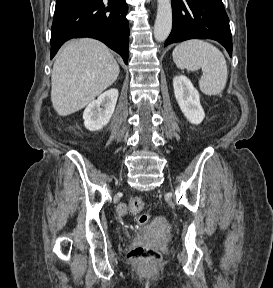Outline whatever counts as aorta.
Segmentation results:
<instances>
[{"instance_id":"762f6f07","label":"aorta","mask_w":273,"mask_h":288,"mask_svg":"<svg viewBox=\"0 0 273 288\" xmlns=\"http://www.w3.org/2000/svg\"><path fill=\"white\" fill-rule=\"evenodd\" d=\"M172 29L171 0H157V15L154 25V37L158 42L167 39Z\"/></svg>"}]
</instances>
